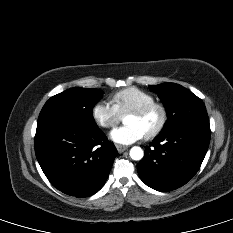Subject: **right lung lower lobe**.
<instances>
[{"mask_svg":"<svg viewBox=\"0 0 233 233\" xmlns=\"http://www.w3.org/2000/svg\"><path fill=\"white\" fill-rule=\"evenodd\" d=\"M35 154L54 187L84 198L103 187L117 149L97 126L55 119L38 123Z\"/></svg>","mask_w":233,"mask_h":233,"instance_id":"98d812e1","label":"right lung lower lobe"}]
</instances>
